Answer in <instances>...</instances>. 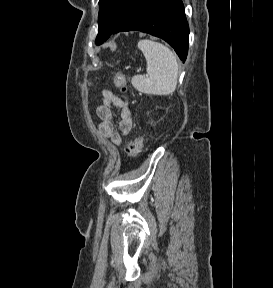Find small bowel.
Segmentation results:
<instances>
[{
  "label": "small bowel",
  "instance_id": "obj_1",
  "mask_svg": "<svg viewBox=\"0 0 273 288\" xmlns=\"http://www.w3.org/2000/svg\"><path fill=\"white\" fill-rule=\"evenodd\" d=\"M113 107L119 110V129L113 125ZM96 114L100 119V134L110 139L115 145H121L123 138L132 129V112L130 102L126 96H117L109 90L102 91V102L96 108Z\"/></svg>",
  "mask_w": 273,
  "mask_h": 288
}]
</instances>
